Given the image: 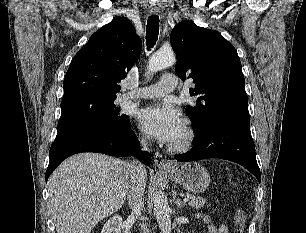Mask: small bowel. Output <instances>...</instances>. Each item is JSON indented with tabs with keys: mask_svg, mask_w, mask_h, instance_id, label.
Wrapping results in <instances>:
<instances>
[{
	"mask_svg": "<svg viewBox=\"0 0 306 233\" xmlns=\"http://www.w3.org/2000/svg\"><path fill=\"white\" fill-rule=\"evenodd\" d=\"M199 218L205 225L207 233H229V229L225 224H219L218 226H215L208 217L200 216Z\"/></svg>",
	"mask_w": 306,
	"mask_h": 233,
	"instance_id": "small-bowel-1",
	"label": "small bowel"
}]
</instances>
